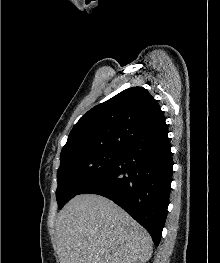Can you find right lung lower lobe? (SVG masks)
I'll return each instance as SVG.
<instances>
[{
	"label": "right lung lower lobe",
	"mask_w": 220,
	"mask_h": 263,
	"mask_svg": "<svg viewBox=\"0 0 220 263\" xmlns=\"http://www.w3.org/2000/svg\"><path fill=\"white\" fill-rule=\"evenodd\" d=\"M167 134L132 142L119 161L79 192L98 194L115 202L150 233L156 246L166 220L172 181Z\"/></svg>",
	"instance_id": "obj_1"
}]
</instances>
